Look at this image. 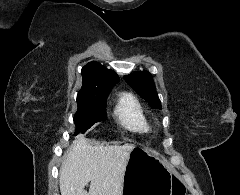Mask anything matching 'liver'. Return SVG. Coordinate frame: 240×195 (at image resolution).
I'll return each mask as SVG.
<instances>
[{"label": "liver", "instance_id": "liver-1", "mask_svg": "<svg viewBox=\"0 0 240 195\" xmlns=\"http://www.w3.org/2000/svg\"><path fill=\"white\" fill-rule=\"evenodd\" d=\"M134 143L91 145L80 133L66 151L59 173L61 195H122ZM91 181L89 191L84 189Z\"/></svg>", "mask_w": 240, "mask_h": 195}]
</instances>
